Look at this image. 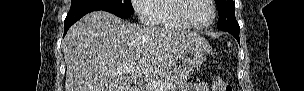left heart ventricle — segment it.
Wrapping results in <instances>:
<instances>
[{
  "instance_id": "left-heart-ventricle-1",
  "label": "left heart ventricle",
  "mask_w": 304,
  "mask_h": 91,
  "mask_svg": "<svg viewBox=\"0 0 304 91\" xmlns=\"http://www.w3.org/2000/svg\"><path fill=\"white\" fill-rule=\"evenodd\" d=\"M188 14L194 23L206 24L212 19L213 12L207 0H191Z\"/></svg>"
}]
</instances>
